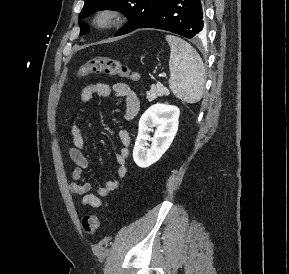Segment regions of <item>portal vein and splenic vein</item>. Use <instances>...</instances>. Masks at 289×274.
Returning a JSON list of instances; mask_svg holds the SVG:
<instances>
[{"label": "portal vein and splenic vein", "instance_id": "portal-vein-and-splenic-vein-1", "mask_svg": "<svg viewBox=\"0 0 289 274\" xmlns=\"http://www.w3.org/2000/svg\"><path fill=\"white\" fill-rule=\"evenodd\" d=\"M159 76L160 77H166V73H161Z\"/></svg>", "mask_w": 289, "mask_h": 274}]
</instances>
